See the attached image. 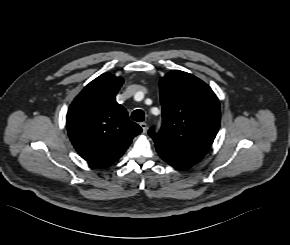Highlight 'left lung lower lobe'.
Returning a JSON list of instances; mask_svg holds the SVG:
<instances>
[{
	"label": "left lung lower lobe",
	"instance_id": "0a47b994",
	"mask_svg": "<svg viewBox=\"0 0 290 245\" xmlns=\"http://www.w3.org/2000/svg\"><path fill=\"white\" fill-rule=\"evenodd\" d=\"M156 150H157L158 154L160 155V157L165 162H167L168 164H170L171 166H173L177 169H187L195 164V163H191L189 161L180 159L176 156H173V155L167 153L166 151H164L163 149H161L160 147L156 146Z\"/></svg>",
	"mask_w": 290,
	"mask_h": 245
}]
</instances>
